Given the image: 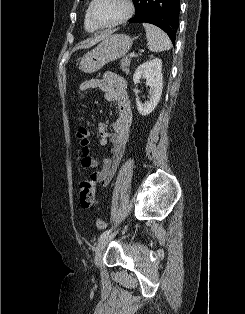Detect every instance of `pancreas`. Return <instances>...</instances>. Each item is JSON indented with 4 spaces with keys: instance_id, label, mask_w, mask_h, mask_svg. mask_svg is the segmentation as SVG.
<instances>
[{
    "instance_id": "obj_1",
    "label": "pancreas",
    "mask_w": 245,
    "mask_h": 314,
    "mask_svg": "<svg viewBox=\"0 0 245 314\" xmlns=\"http://www.w3.org/2000/svg\"><path fill=\"white\" fill-rule=\"evenodd\" d=\"M130 63H131V60L128 56L124 57L120 62V67H121L122 71H124L127 74L129 73Z\"/></svg>"
}]
</instances>
